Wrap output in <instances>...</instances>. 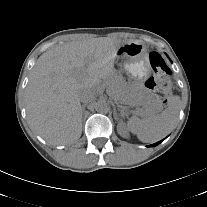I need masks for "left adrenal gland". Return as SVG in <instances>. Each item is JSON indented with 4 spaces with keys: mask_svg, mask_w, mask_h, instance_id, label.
Wrapping results in <instances>:
<instances>
[{
    "mask_svg": "<svg viewBox=\"0 0 207 207\" xmlns=\"http://www.w3.org/2000/svg\"><path fill=\"white\" fill-rule=\"evenodd\" d=\"M112 106H113L114 118L117 119L116 105L114 103H112Z\"/></svg>",
    "mask_w": 207,
    "mask_h": 207,
    "instance_id": "1",
    "label": "left adrenal gland"
}]
</instances>
